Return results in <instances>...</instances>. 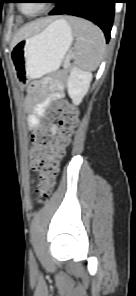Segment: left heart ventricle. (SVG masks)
Here are the masks:
<instances>
[{
	"label": "left heart ventricle",
	"mask_w": 136,
	"mask_h": 296,
	"mask_svg": "<svg viewBox=\"0 0 136 296\" xmlns=\"http://www.w3.org/2000/svg\"><path fill=\"white\" fill-rule=\"evenodd\" d=\"M44 3L28 2L23 3V9L26 13L32 14L40 10Z\"/></svg>",
	"instance_id": "left-heart-ventricle-1"
}]
</instances>
